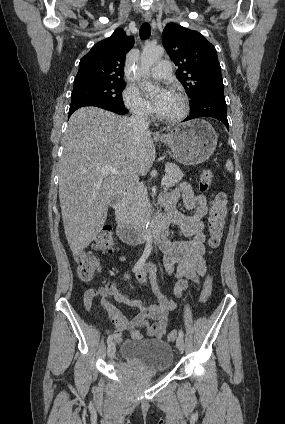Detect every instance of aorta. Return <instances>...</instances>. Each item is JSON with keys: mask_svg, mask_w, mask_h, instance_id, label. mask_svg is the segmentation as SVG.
Returning <instances> with one entry per match:
<instances>
[{"mask_svg": "<svg viewBox=\"0 0 285 424\" xmlns=\"http://www.w3.org/2000/svg\"><path fill=\"white\" fill-rule=\"evenodd\" d=\"M164 48L161 46L155 47H145L140 57V74L142 76V87L146 90H153L154 86L148 82V73L150 68L153 66L155 62L160 60L164 55ZM153 243V237L151 232L147 233V242L146 246L151 247Z\"/></svg>", "mask_w": 285, "mask_h": 424, "instance_id": "obj_1", "label": "aorta"}]
</instances>
